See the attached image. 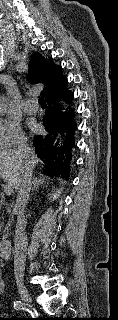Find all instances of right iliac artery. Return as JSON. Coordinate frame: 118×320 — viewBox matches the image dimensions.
Wrapping results in <instances>:
<instances>
[{"instance_id":"1","label":"right iliac artery","mask_w":118,"mask_h":320,"mask_svg":"<svg viewBox=\"0 0 118 320\" xmlns=\"http://www.w3.org/2000/svg\"><path fill=\"white\" fill-rule=\"evenodd\" d=\"M14 308L17 310L23 309V303L21 301H15Z\"/></svg>"}]
</instances>
